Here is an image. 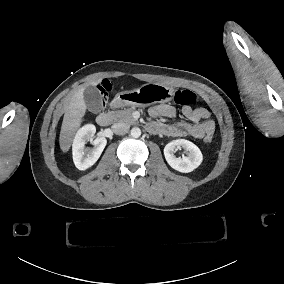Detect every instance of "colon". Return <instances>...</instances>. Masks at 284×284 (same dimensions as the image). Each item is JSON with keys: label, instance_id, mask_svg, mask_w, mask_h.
Wrapping results in <instances>:
<instances>
[{"label": "colon", "instance_id": "1", "mask_svg": "<svg viewBox=\"0 0 284 284\" xmlns=\"http://www.w3.org/2000/svg\"><path fill=\"white\" fill-rule=\"evenodd\" d=\"M177 102L184 107H188L191 106L196 99L195 93L188 88H184L181 89L176 96ZM205 141L206 142H210L211 141V137L210 136H206L205 137Z\"/></svg>", "mask_w": 284, "mask_h": 284}]
</instances>
